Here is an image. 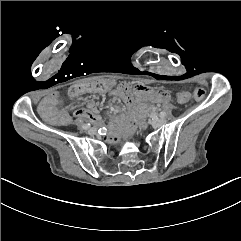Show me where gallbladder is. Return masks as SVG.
<instances>
[{
  "mask_svg": "<svg viewBox=\"0 0 241 241\" xmlns=\"http://www.w3.org/2000/svg\"><path fill=\"white\" fill-rule=\"evenodd\" d=\"M56 107L58 110L63 111L67 107L66 97L64 94L59 93L55 97Z\"/></svg>",
  "mask_w": 241,
  "mask_h": 241,
  "instance_id": "obj_1",
  "label": "gallbladder"
}]
</instances>
